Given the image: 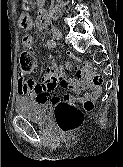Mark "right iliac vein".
<instances>
[{"mask_svg": "<svg viewBox=\"0 0 123 167\" xmlns=\"http://www.w3.org/2000/svg\"><path fill=\"white\" fill-rule=\"evenodd\" d=\"M52 35L55 39L57 40H61L62 39V33L60 30H58L57 28H53L52 29Z\"/></svg>", "mask_w": 123, "mask_h": 167, "instance_id": "63e3f726", "label": "right iliac vein"}]
</instances>
